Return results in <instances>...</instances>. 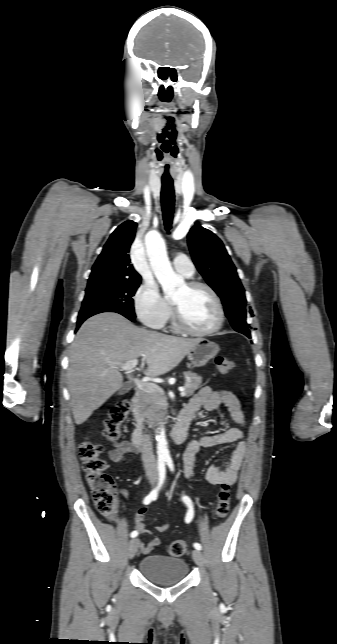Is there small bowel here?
Wrapping results in <instances>:
<instances>
[{
	"label": "small bowel",
	"instance_id": "small-bowel-1",
	"mask_svg": "<svg viewBox=\"0 0 337 644\" xmlns=\"http://www.w3.org/2000/svg\"><path fill=\"white\" fill-rule=\"evenodd\" d=\"M220 406H225L227 408L231 418L239 425V427H232L216 434L203 435L198 439L192 440L183 454L184 475L187 478L192 476L196 455L200 448L236 443L235 450L227 459V464L224 468H220L217 465H211L206 471V480L209 483L213 485H221L223 483L231 485L237 479L238 471L246 453V442L244 440V432L241 428V426L245 424V417L237 397L230 391H215L209 386H205L190 399L189 403L184 407L181 413L188 415L190 419H192L201 409L211 412ZM137 452V448L130 441H123L117 447L110 450L108 456L112 462L118 463L127 460L130 456L136 455ZM120 492L124 496H128L127 489L121 488ZM146 516L147 510L145 508H141L137 512L134 523L135 531L142 534L151 533L145 524ZM169 528V524H161L156 527V530L160 533H164L168 531ZM160 543L161 539L155 536L147 543L140 542L139 549L143 554H149L159 546Z\"/></svg>",
	"mask_w": 337,
	"mask_h": 644
}]
</instances>
